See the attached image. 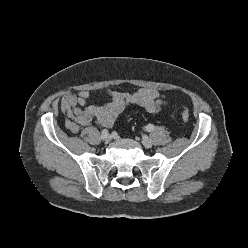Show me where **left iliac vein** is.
Masks as SVG:
<instances>
[{"mask_svg":"<svg viewBox=\"0 0 248 248\" xmlns=\"http://www.w3.org/2000/svg\"><path fill=\"white\" fill-rule=\"evenodd\" d=\"M141 141H142V144L144 145V147H146V148H151L153 145V142L147 136H142Z\"/></svg>","mask_w":248,"mask_h":248,"instance_id":"obj_1","label":"left iliac vein"}]
</instances>
